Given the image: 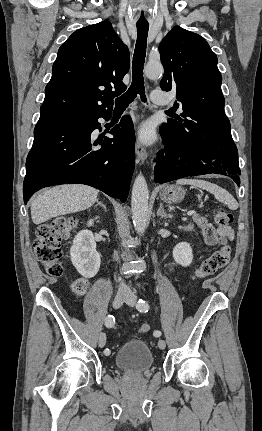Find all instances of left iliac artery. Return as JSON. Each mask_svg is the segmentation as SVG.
<instances>
[{"label":"left iliac artery","mask_w":262,"mask_h":431,"mask_svg":"<svg viewBox=\"0 0 262 431\" xmlns=\"http://www.w3.org/2000/svg\"><path fill=\"white\" fill-rule=\"evenodd\" d=\"M137 309L140 311V312H148V310H149V305H148V303L144 300V299H139L138 300V303H137ZM154 336H156V337H160L161 336V331H159V330H156V331H154Z\"/></svg>","instance_id":"obj_1"}]
</instances>
